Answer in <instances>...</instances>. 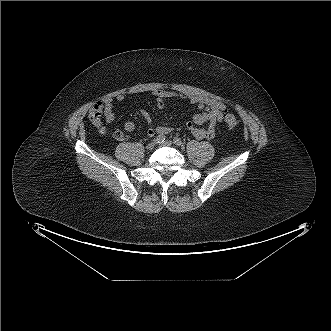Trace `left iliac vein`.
<instances>
[{
	"label": "left iliac vein",
	"instance_id": "1",
	"mask_svg": "<svg viewBox=\"0 0 331 331\" xmlns=\"http://www.w3.org/2000/svg\"><path fill=\"white\" fill-rule=\"evenodd\" d=\"M162 146H172L173 145V142L172 141H169V140H166L165 142L161 143Z\"/></svg>",
	"mask_w": 331,
	"mask_h": 331
}]
</instances>
